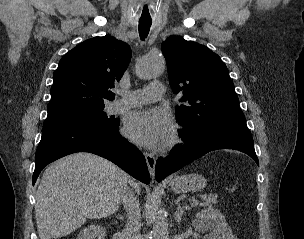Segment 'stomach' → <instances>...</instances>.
<instances>
[{
    "instance_id": "1",
    "label": "stomach",
    "mask_w": 304,
    "mask_h": 239,
    "mask_svg": "<svg viewBox=\"0 0 304 239\" xmlns=\"http://www.w3.org/2000/svg\"><path fill=\"white\" fill-rule=\"evenodd\" d=\"M171 189L175 193L201 191L206 186V179L200 174L176 176L171 180Z\"/></svg>"
}]
</instances>
